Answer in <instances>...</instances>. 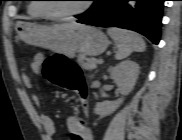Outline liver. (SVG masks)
Here are the masks:
<instances>
[{
  "instance_id": "obj_1",
  "label": "liver",
  "mask_w": 182,
  "mask_h": 140,
  "mask_svg": "<svg viewBox=\"0 0 182 140\" xmlns=\"http://www.w3.org/2000/svg\"><path fill=\"white\" fill-rule=\"evenodd\" d=\"M79 25L80 24L72 22V23H66V24H62V25H55V26H52V27L68 28V27H74V26H79Z\"/></svg>"
}]
</instances>
